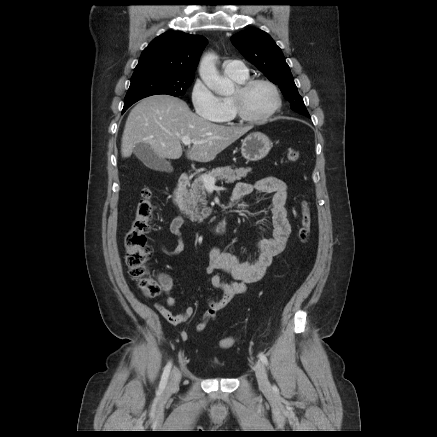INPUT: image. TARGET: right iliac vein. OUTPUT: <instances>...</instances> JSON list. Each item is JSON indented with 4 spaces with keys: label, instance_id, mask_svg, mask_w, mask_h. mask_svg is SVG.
I'll return each mask as SVG.
<instances>
[{
    "label": "right iliac vein",
    "instance_id": "1",
    "mask_svg": "<svg viewBox=\"0 0 437 437\" xmlns=\"http://www.w3.org/2000/svg\"><path fill=\"white\" fill-rule=\"evenodd\" d=\"M180 379H181L180 371L177 368L173 369L170 374L166 391L167 392L175 391L179 387Z\"/></svg>",
    "mask_w": 437,
    "mask_h": 437
}]
</instances>
